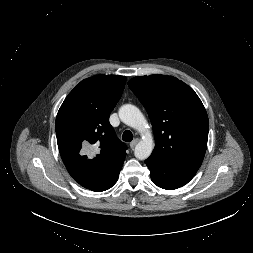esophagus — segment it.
I'll list each match as a JSON object with an SVG mask.
<instances>
[{"label": "esophagus", "mask_w": 253, "mask_h": 253, "mask_svg": "<svg viewBox=\"0 0 253 253\" xmlns=\"http://www.w3.org/2000/svg\"><path fill=\"white\" fill-rule=\"evenodd\" d=\"M138 139L136 138V139H134L131 143H130V148L131 149H133L135 146H136V144L138 143Z\"/></svg>", "instance_id": "34e87169"}]
</instances>
